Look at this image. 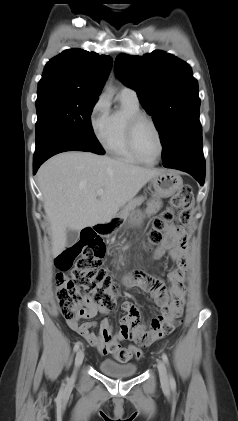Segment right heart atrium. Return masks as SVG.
Listing matches in <instances>:
<instances>
[{
	"instance_id": "obj_1",
	"label": "right heart atrium",
	"mask_w": 238,
	"mask_h": 421,
	"mask_svg": "<svg viewBox=\"0 0 238 421\" xmlns=\"http://www.w3.org/2000/svg\"><path fill=\"white\" fill-rule=\"evenodd\" d=\"M109 114L108 101L105 95H100L89 112V122L94 134L101 139Z\"/></svg>"
}]
</instances>
